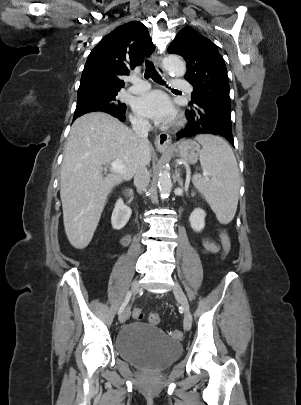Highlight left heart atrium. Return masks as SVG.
Instances as JSON below:
<instances>
[{
  "mask_svg": "<svg viewBox=\"0 0 301 405\" xmlns=\"http://www.w3.org/2000/svg\"><path fill=\"white\" fill-rule=\"evenodd\" d=\"M133 108L138 115L158 124L171 123L177 114L168 96L161 91H150L137 97Z\"/></svg>",
  "mask_w": 301,
  "mask_h": 405,
  "instance_id": "1",
  "label": "left heart atrium"
}]
</instances>
